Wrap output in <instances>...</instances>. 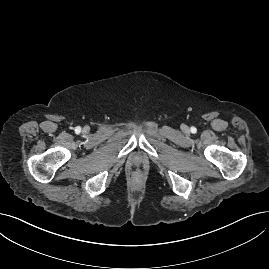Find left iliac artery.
Instances as JSON below:
<instances>
[{
  "label": "left iliac artery",
  "mask_w": 269,
  "mask_h": 269,
  "mask_svg": "<svg viewBox=\"0 0 269 269\" xmlns=\"http://www.w3.org/2000/svg\"><path fill=\"white\" fill-rule=\"evenodd\" d=\"M191 132H192V133H195V132H196V128H195V127H192V128H191Z\"/></svg>",
  "instance_id": "1"
}]
</instances>
